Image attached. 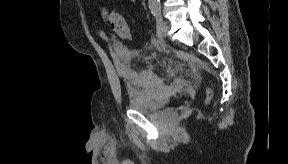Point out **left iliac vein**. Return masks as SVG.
Here are the masks:
<instances>
[{
    "label": "left iliac vein",
    "mask_w": 288,
    "mask_h": 164,
    "mask_svg": "<svg viewBox=\"0 0 288 164\" xmlns=\"http://www.w3.org/2000/svg\"><path fill=\"white\" fill-rule=\"evenodd\" d=\"M168 30H169V25L167 21L163 20L162 18H159V24L157 27V34L159 38L163 39V37L166 36Z\"/></svg>",
    "instance_id": "4c4485c4"
}]
</instances>
